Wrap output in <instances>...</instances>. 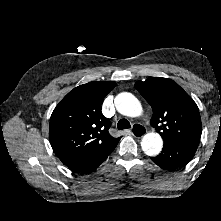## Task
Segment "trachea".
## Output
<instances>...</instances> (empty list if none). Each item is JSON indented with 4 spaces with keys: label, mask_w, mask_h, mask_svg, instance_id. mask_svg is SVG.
<instances>
[{
    "label": "trachea",
    "mask_w": 221,
    "mask_h": 221,
    "mask_svg": "<svg viewBox=\"0 0 221 221\" xmlns=\"http://www.w3.org/2000/svg\"><path fill=\"white\" fill-rule=\"evenodd\" d=\"M118 130L131 128V125L127 119H120L117 124Z\"/></svg>",
    "instance_id": "1"
}]
</instances>
